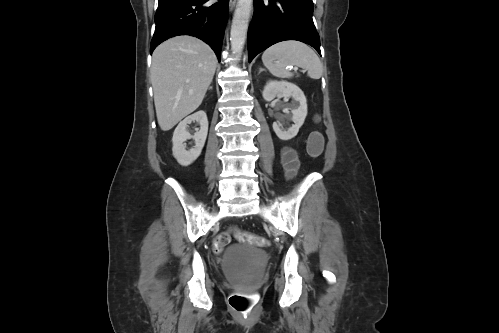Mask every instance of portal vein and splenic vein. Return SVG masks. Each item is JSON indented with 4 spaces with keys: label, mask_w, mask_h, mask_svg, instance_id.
<instances>
[{
    "label": "portal vein and splenic vein",
    "mask_w": 499,
    "mask_h": 333,
    "mask_svg": "<svg viewBox=\"0 0 499 333\" xmlns=\"http://www.w3.org/2000/svg\"><path fill=\"white\" fill-rule=\"evenodd\" d=\"M287 68H289L290 70H291V69L298 70V68H297V67H294V68H293V67H291V66H288Z\"/></svg>",
    "instance_id": "portal-vein-and-splenic-vein-1"
}]
</instances>
